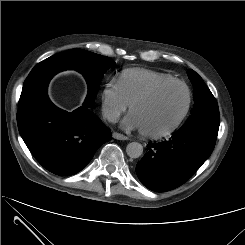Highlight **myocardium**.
<instances>
[{
	"label": "myocardium",
	"mask_w": 245,
	"mask_h": 245,
	"mask_svg": "<svg viewBox=\"0 0 245 245\" xmlns=\"http://www.w3.org/2000/svg\"><path fill=\"white\" fill-rule=\"evenodd\" d=\"M171 85H180V86L184 87V89L186 90L187 102H186L185 109L183 110V112L180 115V117L178 118V120L170 128H168V129H166L164 131L151 133V132H147V131H144V130H140L141 134L144 137H146V138L158 140V139L169 137L174 132H176L178 130V128L182 125V123L186 119V117L189 114V111L191 109V105H192V92H191V89L185 82H183L181 80H178V79H172V80H168V81H164V82H161L159 84H156L155 86L150 88L145 93H143L140 96H138L135 99H133L131 101V103L129 104V112L131 113L133 108L136 105H138L140 103H143L145 101H148L149 99L153 98L160 90H162V89H164V88H166L168 86H171Z\"/></svg>",
	"instance_id": "obj_1"
}]
</instances>
